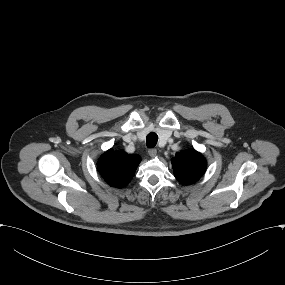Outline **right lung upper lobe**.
<instances>
[{
  "mask_svg": "<svg viewBox=\"0 0 285 285\" xmlns=\"http://www.w3.org/2000/svg\"><path fill=\"white\" fill-rule=\"evenodd\" d=\"M140 161L139 155L110 149L100 157L97 165L98 171L110 186L122 188L131 181Z\"/></svg>",
  "mask_w": 285,
  "mask_h": 285,
  "instance_id": "right-lung-upper-lobe-1",
  "label": "right lung upper lobe"
}]
</instances>
